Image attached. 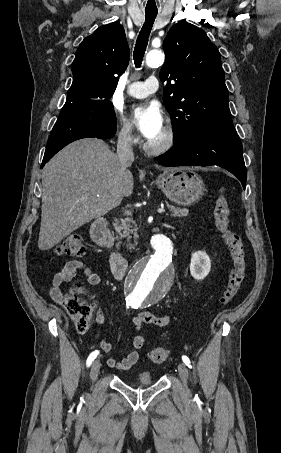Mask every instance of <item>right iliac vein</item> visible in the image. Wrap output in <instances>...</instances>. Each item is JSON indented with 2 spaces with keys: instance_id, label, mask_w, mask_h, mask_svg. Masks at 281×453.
<instances>
[{
  "instance_id": "63e3f726",
  "label": "right iliac vein",
  "mask_w": 281,
  "mask_h": 453,
  "mask_svg": "<svg viewBox=\"0 0 281 453\" xmlns=\"http://www.w3.org/2000/svg\"><path fill=\"white\" fill-rule=\"evenodd\" d=\"M93 364L94 365L91 368L90 374L92 376L91 378L94 380L96 378L95 376H98V374H99V369H100L99 366L101 364L98 362V360H94Z\"/></svg>"
}]
</instances>
